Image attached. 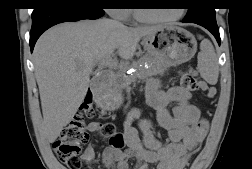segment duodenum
Returning a JSON list of instances; mask_svg holds the SVG:
<instances>
[{
    "instance_id": "1",
    "label": "duodenum",
    "mask_w": 252,
    "mask_h": 169,
    "mask_svg": "<svg viewBox=\"0 0 252 169\" xmlns=\"http://www.w3.org/2000/svg\"><path fill=\"white\" fill-rule=\"evenodd\" d=\"M102 77H103V78H109V76H108V75H103Z\"/></svg>"
}]
</instances>
